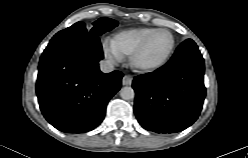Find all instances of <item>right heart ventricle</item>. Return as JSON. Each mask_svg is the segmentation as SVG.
I'll list each match as a JSON object with an SVG mask.
<instances>
[{
    "instance_id": "1",
    "label": "right heart ventricle",
    "mask_w": 248,
    "mask_h": 158,
    "mask_svg": "<svg viewBox=\"0 0 248 158\" xmlns=\"http://www.w3.org/2000/svg\"><path fill=\"white\" fill-rule=\"evenodd\" d=\"M154 28H132L113 35L111 44L122 57H129Z\"/></svg>"
}]
</instances>
